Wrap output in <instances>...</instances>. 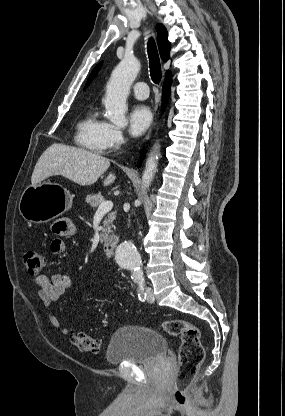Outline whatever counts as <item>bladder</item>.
Returning a JSON list of instances; mask_svg holds the SVG:
<instances>
[{"instance_id":"obj_1","label":"bladder","mask_w":285,"mask_h":416,"mask_svg":"<svg viewBox=\"0 0 285 416\" xmlns=\"http://www.w3.org/2000/svg\"><path fill=\"white\" fill-rule=\"evenodd\" d=\"M167 355L166 337L141 325H124L112 335L106 358L109 363H153Z\"/></svg>"}]
</instances>
